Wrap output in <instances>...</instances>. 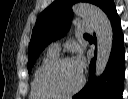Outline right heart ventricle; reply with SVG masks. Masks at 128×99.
Instances as JSON below:
<instances>
[{"label": "right heart ventricle", "instance_id": "1", "mask_svg": "<svg viewBox=\"0 0 128 99\" xmlns=\"http://www.w3.org/2000/svg\"><path fill=\"white\" fill-rule=\"evenodd\" d=\"M56 58H58V53L48 51L46 55L42 58L38 66L36 67L34 74H33L32 82H31V91H30L31 99H52L54 98L53 96L40 90L38 86V76L42 68L45 65L49 64L50 62H52L53 60H55Z\"/></svg>", "mask_w": 128, "mask_h": 99}]
</instances>
